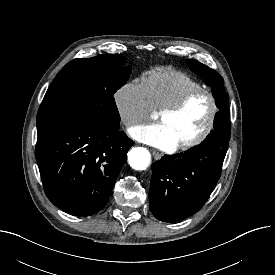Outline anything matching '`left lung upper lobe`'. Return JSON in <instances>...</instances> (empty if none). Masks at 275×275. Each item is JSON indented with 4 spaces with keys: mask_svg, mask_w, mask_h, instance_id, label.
I'll return each instance as SVG.
<instances>
[{
    "mask_svg": "<svg viewBox=\"0 0 275 275\" xmlns=\"http://www.w3.org/2000/svg\"><path fill=\"white\" fill-rule=\"evenodd\" d=\"M189 68L196 74L202 76L205 83L212 87V94L215 98L219 112L216 113L214 119V129L211 130L206 140L222 139L230 140V113H229V97L224 91L223 78L213 69L200 63L197 60H187Z\"/></svg>",
    "mask_w": 275,
    "mask_h": 275,
    "instance_id": "obj_1",
    "label": "left lung upper lobe"
}]
</instances>
